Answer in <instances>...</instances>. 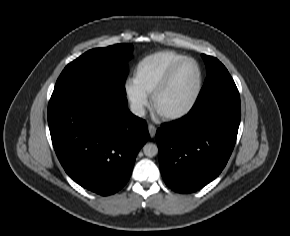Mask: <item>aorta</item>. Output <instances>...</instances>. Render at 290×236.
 Returning a JSON list of instances; mask_svg holds the SVG:
<instances>
[{
    "label": "aorta",
    "mask_w": 290,
    "mask_h": 236,
    "mask_svg": "<svg viewBox=\"0 0 290 236\" xmlns=\"http://www.w3.org/2000/svg\"><path fill=\"white\" fill-rule=\"evenodd\" d=\"M143 152L147 157H154L158 154V147L154 143H146L143 147Z\"/></svg>",
    "instance_id": "1"
}]
</instances>
